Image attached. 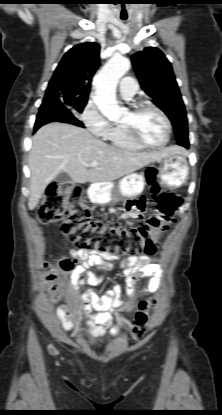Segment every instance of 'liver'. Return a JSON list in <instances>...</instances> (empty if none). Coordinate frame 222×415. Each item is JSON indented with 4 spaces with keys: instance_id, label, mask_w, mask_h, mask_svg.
I'll use <instances>...</instances> for the list:
<instances>
[{
    "instance_id": "obj_1",
    "label": "liver",
    "mask_w": 222,
    "mask_h": 415,
    "mask_svg": "<svg viewBox=\"0 0 222 415\" xmlns=\"http://www.w3.org/2000/svg\"><path fill=\"white\" fill-rule=\"evenodd\" d=\"M184 154L180 146L139 152L118 149L95 138L87 130L65 123H49L34 135L29 153V210L58 174L67 173L75 183H107L128 175L170 154ZM96 161L98 167L88 165Z\"/></svg>"
}]
</instances>
